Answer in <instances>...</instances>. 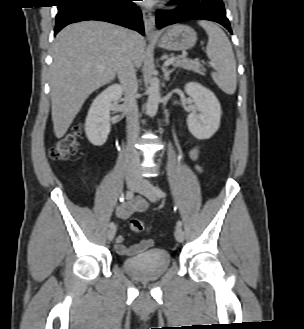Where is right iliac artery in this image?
Masks as SVG:
<instances>
[{
    "label": "right iliac artery",
    "instance_id": "right-iliac-artery-1",
    "mask_svg": "<svg viewBox=\"0 0 304 329\" xmlns=\"http://www.w3.org/2000/svg\"><path fill=\"white\" fill-rule=\"evenodd\" d=\"M133 196H134V191H133V190H130V191H128V192L126 193V199H127V200L132 199ZM109 227H110V228L114 227V223H113V222H110V223H109Z\"/></svg>",
    "mask_w": 304,
    "mask_h": 329
}]
</instances>
